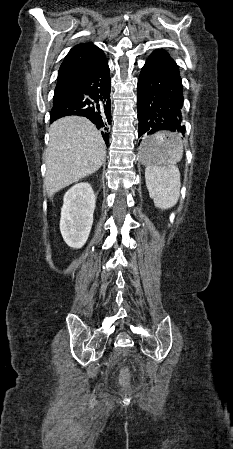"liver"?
<instances>
[{"instance_id":"6515ba94","label":"liver","mask_w":233,"mask_h":449,"mask_svg":"<svg viewBox=\"0 0 233 449\" xmlns=\"http://www.w3.org/2000/svg\"><path fill=\"white\" fill-rule=\"evenodd\" d=\"M44 154L46 174L43 187L49 197L95 173L103 164L106 146L95 125L85 117L68 116L50 127Z\"/></svg>"}]
</instances>
